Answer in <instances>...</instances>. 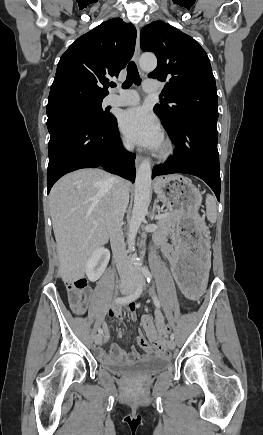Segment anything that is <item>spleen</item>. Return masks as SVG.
Returning <instances> with one entry per match:
<instances>
[{
	"label": "spleen",
	"mask_w": 263,
	"mask_h": 435,
	"mask_svg": "<svg viewBox=\"0 0 263 435\" xmlns=\"http://www.w3.org/2000/svg\"><path fill=\"white\" fill-rule=\"evenodd\" d=\"M206 210H207V217L209 221H216V215H217V205L216 200L212 195H207L206 197Z\"/></svg>",
	"instance_id": "3e777b00"
}]
</instances>
